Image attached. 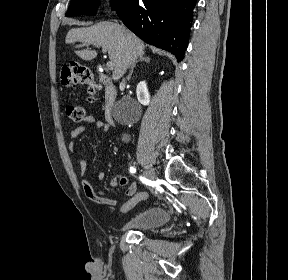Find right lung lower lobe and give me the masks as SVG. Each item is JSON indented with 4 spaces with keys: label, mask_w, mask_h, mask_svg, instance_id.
Returning a JSON list of instances; mask_svg holds the SVG:
<instances>
[{
    "label": "right lung lower lobe",
    "mask_w": 288,
    "mask_h": 280,
    "mask_svg": "<svg viewBox=\"0 0 288 280\" xmlns=\"http://www.w3.org/2000/svg\"><path fill=\"white\" fill-rule=\"evenodd\" d=\"M194 5L195 0H125L114 10L132 32L179 62L187 48Z\"/></svg>",
    "instance_id": "obj_1"
}]
</instances>
